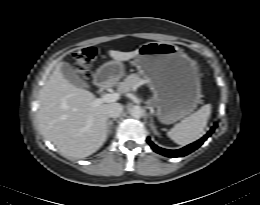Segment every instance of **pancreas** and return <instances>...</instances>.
<instances>
[{
  "label": "pancreas",
  "mask_w": 260,
  "mask_h": 205,
  "mask_svg": "<svg viewBox=\"0 0 260 205\" xmlns=\"http://www.w3.org/2000/svg\"><path fill=\"white\" fill-rule=\"evenodd\" d=\"M144 83V79L137 74H131L124 79L123 82H120L118 85V91L120 93H125L130 91L134 87H138Z\"/></svg>",
  "instance_id": "pancreas-1"
}]
</instances>
